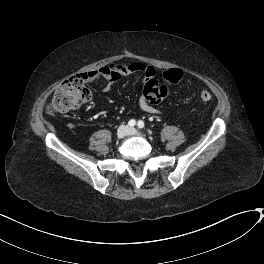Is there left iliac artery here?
Returning a JSON list of instances; mask_svg holds the SVG:
<instances>
[{
  "instance_id": "1",
  "label": "left iliac artery",
  "mask_w": 264,
  "mask_h": 264,
  "mask_svg": "<svg viewBox=\"0 0 264 264\" xmlns=\"http://www.w3.org/2000/svg\"><path fill=\"white\" fill-rule=\"evenodd\" d=\"M138 128H144L145 124L142 120H139L137 123Z\"/></svg>"
}]
</instances>
